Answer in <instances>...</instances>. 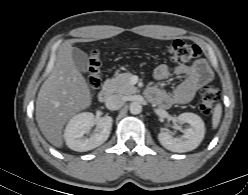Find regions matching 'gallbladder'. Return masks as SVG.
Listing matches in <instances>:
<instances>
[{
    "instance_id": "obj_1",
    "label": "gallbladder",
    "mask_w": 248,
    "mask_h": 195,
    "mask_svg": "<svg viewBox=\"0 0 248 195\" xmlns=\"http://www.w3.org/2000/svg\"><path fill=\"white\" fill-rule=\"evenodd\" d=\"M72 57L77 69L83 73L89 69V58L88 55L80 50L79 48H73Z\"/></svg>"
}]
</instances>
